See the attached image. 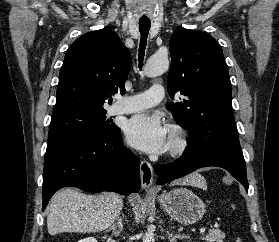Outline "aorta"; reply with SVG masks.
<instances>
[{
    "label": "aorta",
    "mask_w": 279,
    "mask_h": 242,
    "mask_svg": "<svg viewBox=\"0 0 279 242\" xmlns=\"http://www.w3.org/2000/svg\"><path fill=\"white\" fill-rule=\"evenodd\" d=\"M169 68L168 57L159 53L151 56L145 65L144 73L148 77H155L163 74ZM143 242H155L154 233L149 231L145 233Z\"/></svg>",
    "instance_id": "obj_1"
}]
</instances>
